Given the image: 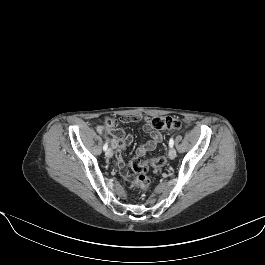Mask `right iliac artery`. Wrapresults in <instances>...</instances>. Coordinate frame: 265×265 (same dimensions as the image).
I'll return each mask as SVG.
<instances>
[{
	"instance_id": "right-iliac-artery-1",
	"label": "right iliac artery",
	"mask_w": 265,
	"mask_h": 265,
	"mask_svg": "<svg viewBox=\"0 0 265 265\" xmlns=\"http://www.w3.org/2000/svg\"><path fill=\"white\" fill-rule=\"evenodd\" d=\"M108 149V140L106 141V143L103 146V150L106 151Z\"/></svg>"
}]
</instances>
